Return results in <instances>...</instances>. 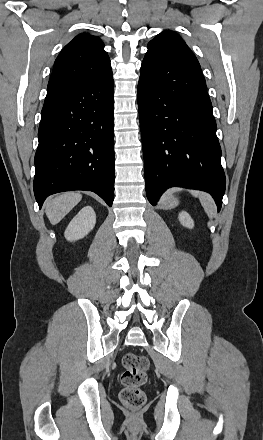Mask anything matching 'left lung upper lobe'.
<instances>
[{"mask_svg":"<svg viewBox=\"0 0 263 440\" xmlns=\"http://www.w3.org/2000/svg\"><path fill=\"white\" fill-rule=\"evenodd\" d=\"M147 48L148 51L145 55L143 62H157L163 56V54L166 53L167 49L171 48L179 53L195 68L201 71L200 64L195 55L192 53L186 43L181 39V37L175 32H162L149 42Z\"/></svg>","mask_w":263,"mask_h":440,"instance_id":"obj_1","label":"left lung upper lobe"}]
</instances>
